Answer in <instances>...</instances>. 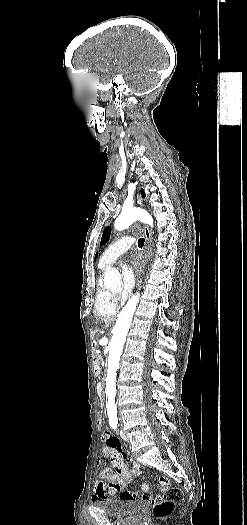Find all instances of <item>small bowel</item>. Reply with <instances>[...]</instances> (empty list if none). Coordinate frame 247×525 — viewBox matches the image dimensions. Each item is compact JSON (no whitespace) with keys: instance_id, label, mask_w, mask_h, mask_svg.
Instances as JSON below:
<instances>
[{"instance_id":"c3829d8e","label":"small bowel","mask_w":247,"mask_h":525,"mask_svg":"<svg viewBox=\"0 0 247 525\" xmlns=\"http://www.w3.org/2000/svg\"><path fill=\"white\" fill-rule=\"evenodd\" d=\"M102 441L104 443L103 456L110 461L112 467L102 469L99 472V482L96 486V495L93 498L96 506H107L109 504V497L106 495L107 485H113L116 491L119 492L127 487L139 475L141 470L139 462L131 457L129 451L111 432H104ZM128 463L131 464V469L128 468ZM96 464L98 467H101L102 460L97 459ZM142 490V494L145 496L144 500L150 502L152 497L149 495L148 486L142 485ZM120 499L139 504L142 501V496L132 491H123L120 494Z\"/></svg>"}]
</instances>
